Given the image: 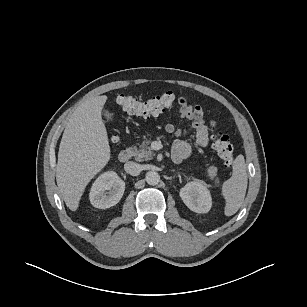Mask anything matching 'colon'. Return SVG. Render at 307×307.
<instances>
[{"label":"colon","mask_w":307,"mask_h":307,"mask_svg":"<svg viewBox=\"0 0 307 307\" xmlns=\"http://www.w3.org/2000/svg\"><path fill=\"white\" fill-rule=\"evenodd\" d=\"M175 101L172 92L164 93L161 96L140 101L129 94H119L115 102L126 112L142 116H153L171 107ZM213 148L225 166L229 167L234 161V149L227 135L213 130Z\"/></svg>","instance_id":"5ec220e1"}]
</instances>
